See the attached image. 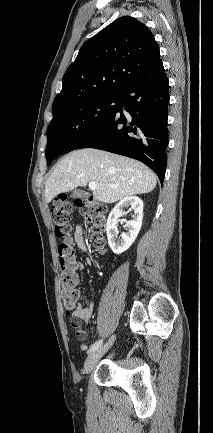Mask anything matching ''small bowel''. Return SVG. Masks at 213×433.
I'll return each mask as SVG.
<instances>
[{
  "label": "small bowel",
  "mask_w": 213,
  "mask_h": 433,
  "mask_svg": "<svg viewBox=\"0 0 213 433\" xmlns=\"http://www.w3.org/2000/svg\"><path fill=\"white\" fill-rule=\"evenodd\" d=\"M73 240L75 242V244L77 245V247L84 252H88L89 251V247L87 245V241L84 235V230L81 226H76V228L74 229L73 232ZM84 264L86 265H91L92 264V258L88 257L85 259V263H82L78 260L74 261V267L75 270H82L84 268ZM93 310H94V305L93 303H89L85 306H78L76 307L73 312H72V316L77 319V320H81L85 323L89 322L92 314H93ZM86 337V331L83 329V335L81 338H85ZM88 346L85 343H82L80 345V350L85 351L87 350Z\"/></svg>",
  "instance_id": "obj_1"
}]
</instances>
